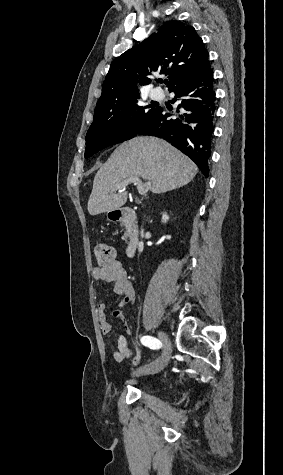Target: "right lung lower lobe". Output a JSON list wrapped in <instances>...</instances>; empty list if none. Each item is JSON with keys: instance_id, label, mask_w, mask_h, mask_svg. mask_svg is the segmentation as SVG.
<instances>
[{"instance_id": "1", "label": "right lung lower lobe", "mask_w": 283, "mask_h": 475, "mask_svg": "<svg viewBox=\"0 0 283 475\" xmlns=\"http://www.w3.org/2000/svg\"><path fill=\"white\" fill-rule=\"evenodd\" d=\"M178 99L177 118L158 107L156 115L138 132L165 139L189 156L207 177L211 156L216 97L212 69L190 76L169 89Z\"/></svg>"}]
</instances>
